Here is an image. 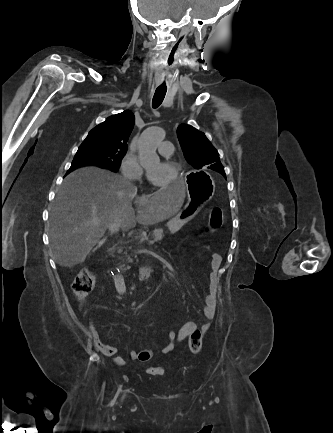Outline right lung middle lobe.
Segmentation results:
<instances>
[{
	"instance_id": "1",
	"label": "right lung middle lobe",
	"mask_w": 333,
	"mask_h": 433,
	"mask_svg": "<svg viewBox=\"0 0 333 433\" xmlns=\"http://www.w3.org/2000/svg\"><path fill=\"white\" fill-rule=\"evenodd\" d=\"M127 150L101 147L90 142H83L72 164H93L112 171H117Z\"/></svg>"
}]
</instances>
